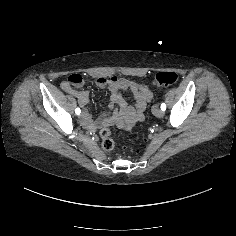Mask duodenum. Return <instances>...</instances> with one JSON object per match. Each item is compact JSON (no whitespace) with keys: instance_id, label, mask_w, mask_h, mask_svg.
<instances>
[{"instance_id":"obj_1","label":"duodenum","mask_w":236,"mask_h":236,"mask_svg":"<svg viewBox=\"0 0 236 236\" xmlns=\"http://www.w3.org/2000/svg\"><path fill=\"white\" fill-rule=\"evenodd\" d=\"M106 84L109 85L110 88L114 91V93L112 95V101L114 103H117L120 106H124V101L121 98V96L118 93H116L115 91H117L120 88H126V87H130L134 91L137 89L136 85L129 83L127 81H123V80L115 81L113 79H107ZM72 95L77 97L79 101L86 100L85 97L81 96L78 93H72ZM137 102H138V105H137L138 113H140L142 105L145 103V96L143 94H140L139 96H137ZM85 120H86V123L89 127L93 126V123L90 121L89 117H86ZM104 123L113 124L115 122L113 120H108V121H105Z\"/></svg>"}]
</instances>
